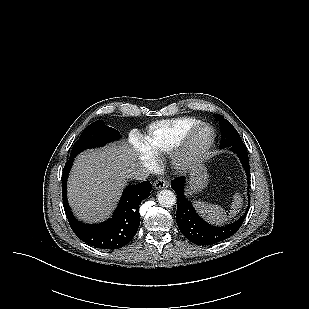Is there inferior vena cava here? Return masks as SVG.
Instances as JSON below:
<instances>
[{"label":"inferior vena cava","instance_id":"1","mask_svg":"<svg viewBox=\"0 0 309 309\" xmlns=\"http://www.w3.org/2000/svg\"><path fill=\"white\" fill-rule=\"evenodd\" d=\"M148 176H149V171L140 165H137L131 168L128 174L129 178H132L135 180H145Z\"/></svg>","mask_w":309,"mask_h":309}]
</instances>
